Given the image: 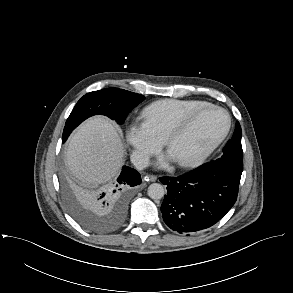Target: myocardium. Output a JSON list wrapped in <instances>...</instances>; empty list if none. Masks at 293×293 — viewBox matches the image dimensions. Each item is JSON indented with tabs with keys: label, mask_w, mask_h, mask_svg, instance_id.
<instances>
[{
	"label": "myocardium",
	"mask_w": 293,
	"mask_h": 293,
	"mask_svg": "<svg viewBox=\"0 0 293 293\" xmlns=\"http://www.w3.org/2000/svg\"><path fill=\"white\" fill-rule=\"evenodd\" d=\"M207 110H216L224 113L226 117V126L222 133L201 151L186 159L178 161V165L181 167L195 166L203 162L205 159H207L213 153V151L222 143V141L227 137L231 129V117L228 111L220 106L208 104L189 113L184 119H182L179 123H177L175 126L171 128V130L165 137V144L167 148H170L174 141L181 137L191 127L196 118Z\"/></svg>",
	"instance_id": "myocardium-1"
}]
</instances>
